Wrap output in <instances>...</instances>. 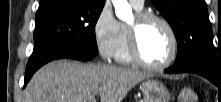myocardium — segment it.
Returning a JSON list of instances; mask_svg holds the SVG:
<instances>
[{"instance_id": "obj_1", "label": "myocardium", "mask_w": 221, "mask_h": 102, "mask_svg": "<svg viewBox=\"0 0 221 102\" xmlns=\"http://www.w3.org/2000/svg\"><path fill=\"white\" fill-rule=\"evenodd\" d=\"M150 22H158L162 24L168 31L171 42L172 50L169 58L161 64H152L148 62L140 48L139 43V32L140 29ZM127 38H128V48L130 55L135 63L138 65L150 69V70H163L169 67L176 59L178 54V38L176 32L172 25L162 16L151 13V12H138L135 16V22L127 26Z\"/></svg>"}]
</instances>
